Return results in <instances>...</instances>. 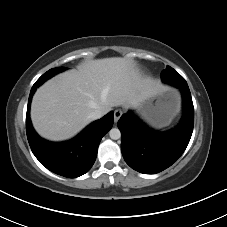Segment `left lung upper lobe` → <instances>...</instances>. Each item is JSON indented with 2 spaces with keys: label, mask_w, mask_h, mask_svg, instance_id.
Listing matches in <instances>:
<instances>
[{
  "label": "left lung upper lobe",
  "mask_w": 227,
  "mask_h": 227,
  "mask_svg": "<svg viewBox=\"0 0 227 227\" xmlns=\"http://www.w3.org/2000/svg\"><path fill=\"white\" fill-rule=\"evenodd\" d=\"M161 78L164 82H167L169 84H186L185 79L170 66H167V68L162 71Z\"/></svg>",
  "instance_id": "obj_1"
}]
</instances>
